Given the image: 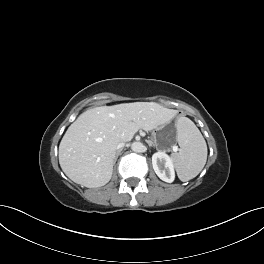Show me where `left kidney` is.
<instances>
[{
  "label": "left kidney",
  "instance_id": "5707ae66",
  "mask_svg": "<svg viewBox=\"0 0 264 264\" xmlns=\"http://www.w3.org/2000/svg\"><path fill=\"white\" fill-rule=\"evenodd\" d=\"M152 165L157 176L168 183H172L175 178L172 159L163 151H158L152 156Z\"/></svg>",
  "mask_w": 264,
  "mask_h": 264
}]
</instances>
